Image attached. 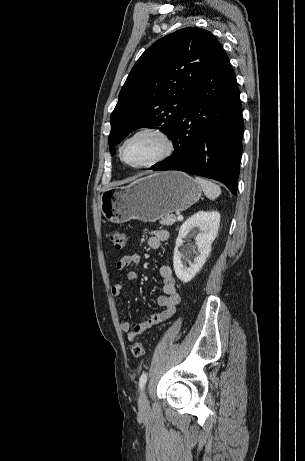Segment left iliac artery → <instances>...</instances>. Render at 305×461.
I'll return each mask as SVG.
<instances>
[{
  "instance_id": "obj_1",
  "label": "left iliac artery",
  "mask_w": 305,
  "mask_h": 461,
  "mask_svg": "<svg viewBox=\"0 0 305 461\" xmlns=\"http://www.w3.org/2000/svg\"><path fill=\"white\" fill-rule=\"evenodd\" d=\"M147 382V373H142L139 379V388L142 390Z\"/></svg>"
}]
</instances>
